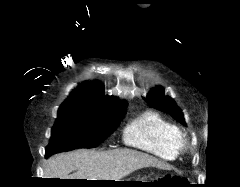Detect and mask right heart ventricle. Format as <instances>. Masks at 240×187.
I'll return each mask as SVG.
<instances>
[{"label": "right heart ventricle", "mask_w": 240, "mask_h": 187, "mask_svg": "<svg viewBox=\"0 0 240 187\" xmlns=\"http://www.w3.org/2000/svg\"><path fill=\"white\" fill-rule=\"evenodd\" d=\"M179 128L154 111H146L130 122L123 133L126 145L145 151L163 160L179 156Z\"/></svg>", "instance_id": "obj_1"}]
</instances>
